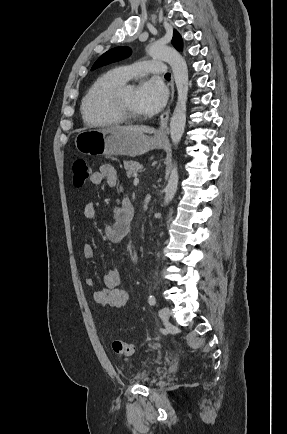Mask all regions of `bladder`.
Here are the masks:
<instances>
[{
    "instance_id": "31cf9c89",
    "label": "bladder",
    "mask_w": 287,
    "mask_h": 434,
    "mask_svg": "<svg viewBox=\"0 0 287 434\" xmlns=\"http://www.w3.org/2000/svg\"><path fill=\"white\" fill-rule=\"evenodd\" d=\"M153 374V370H144L137 375L136 381H138L139 383H145L153 376Z\"/></svg>"
}]
</instances>
